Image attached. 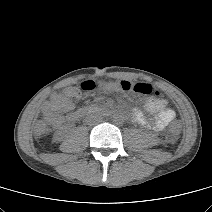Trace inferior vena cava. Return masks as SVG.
I'll return each mask as SVG.
<instances>
[{
  "mask_svg": "<svg viewBox=\"0 0 212 212\" xmlns=\"http://www.w3.org/2000/svg\"><path fill=\"white\" fill-rule=\"evenodd\" d=\"M87 122L90 125H93V124L98 125V124H100L101 119H100V117L93 115V116L88 117Z\"/></svg>",
  "mask_w": 212,
  "mask_h": 212,
  "instance_id": "obj_1",
  "label": "inferior vena cava"
}]
</instances>
